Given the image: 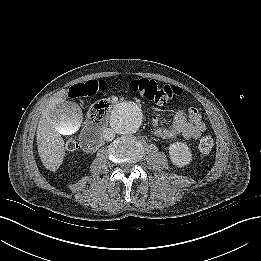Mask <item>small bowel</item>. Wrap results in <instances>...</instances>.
<instances>
[{
	"mask_svg": "<svg viewBox=\"0 0 261 261\" xmlns=\"http://www.w3.org/2000/svg\"><path fill=\"white\" fill-rule=\"evenodd\" d=\"M72 98H76L70 94ZM153 135L162 139L184 137L185 139H198L206 130V124L198 109L190 107L176 112L171 127H159V119L153 118Z\"/></svg>",
	"mask_w": 261,
	"mask_h": 261,
	"instance_id": "1",
	"label": "small bowel"
}]
</instances>
